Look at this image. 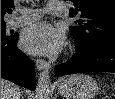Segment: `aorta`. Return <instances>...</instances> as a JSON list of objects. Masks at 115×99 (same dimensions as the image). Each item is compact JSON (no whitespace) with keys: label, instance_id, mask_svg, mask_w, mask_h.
I'll use <instances>...</instances> for the list:
<instances>
[{"label":"aorta","instance_id":"aorta-1","mask_svg":"<svg viewBox=\"0 0 115 99\" xmlns=\"http://www.w3.org/2000/svg\"><path fill=\"white\" fill-rule=\"evenodd\" d=\"M50 95V74L48 70L40 73L36 89V99H49Z\"/></svg>","mask_w":115,"mask_h":99}]
</instances>
